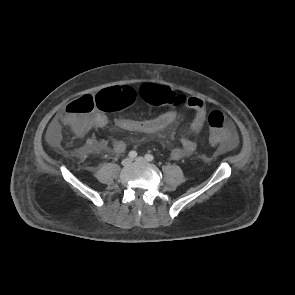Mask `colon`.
I'll list each match as a JSON object with an SVG mask.
<instances>
[{
  "label": "colon",
  "mask_w": 295,
  "mask_h": 295,
  "mask_svg": "<svg viewBox=\"0 0 295 295\" xmlns=\"http://www.w3.org/2000/svg\"><path fill=\"white\" fill-rule=\"evenodd\" d=\"M136 95L133 88L120 85L104 89L95 96H83L66 106L63 120L75 129L95 108L104 112L118 111L129 106ZM140 95L152 105L178 106L186 101L181 93L154 84H144L140 89ZM207 122L210 128L209 140L212 144L232 142L235 135L222 112H210Z\"/></svg>",
  "instance_id": "5ec220e1"
}]
</instances>
